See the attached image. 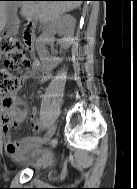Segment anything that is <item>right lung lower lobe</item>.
I'll return each instance as SVG.
<instances>
[{
  "label": "right lung lower lobe",
  "instance_id": "right-lung-lower-lobe-1",
  "mask_svg": "<svg viewBox=\"0 0 137 189\" xmlns=\"http://www.w3.org/2000/svg\"><path fill=\"white\" fill-rule=\"evenodd\" d=\"M75 1H85V0H75Z\"/></svg>",
  "mask_w": 137,
  "mask_h": 189
}]
</instances>
